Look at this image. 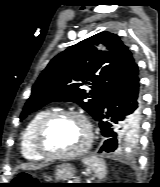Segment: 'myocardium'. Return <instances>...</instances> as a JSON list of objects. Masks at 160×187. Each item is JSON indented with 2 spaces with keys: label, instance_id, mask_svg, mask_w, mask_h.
Wrapping results in <instances>:
<instances>
[{
  "label": "myocardium",
  "instance_id": "obj_1",
  "mask_svg": "<svg viewBox=\"0 0 160 187\" xmlns=\"http://www.w3.org/2000/svg\"><path fill=\"white\" fill-rule=\"evenodd\" d=\"M64 117L79 118L83 122L87 130V139H86L85 144L81 148L73 152H59V151L53 150L48 145L49 132L52 126L58 120ZM35 141H36V147L38 151L40 152V154H42L47 159H53V160L75 159L86 154L89 151L92 145V142H93V128L88 117L80 111L73 110V109L52 111L40 122L36 130Z\"/></svg>",
  "mask_w": 160,
  "mask_h": 187
}]
</instances>
